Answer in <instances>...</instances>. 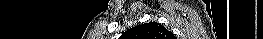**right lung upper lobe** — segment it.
I'll use <instances>...</instances> for the list:
<instances>
[{
  "label": "right lung upper lobe",
  "mask_w": 263,
  "mask_h": 39,
  "mask_svg": "<svg viewBox=\"0 0 263 39\" xmlns=\"http://www.w3.org/2000/svg\"><path fill=\"white\" fill-rule=\"evenodd\" d=\"M121 38L133 39H173V34L157 22L135 26L127 30Z\"/></svg>",
  "instance_id": "1"
}]
</instances>
